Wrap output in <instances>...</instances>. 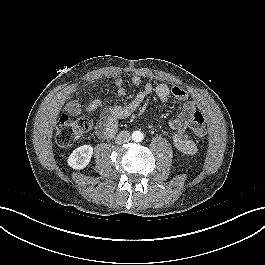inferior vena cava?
<instances>
[{
	"label": "inferior vena cava",
	"mask_w": 265,
	"mask_h": 265,
	"mask_svg": "<svg viewBox=\"0 0 265 265\" xmlns=\"http://www.w3.org/2000/svg\"><path fill=\"white\" fill-rule=\"evenodd\" d=\"M131 140V135L128 131H121L115 139L117 144L127 143Z\"/></svg>",
	"instance_id": "1"
}]
</instances>
